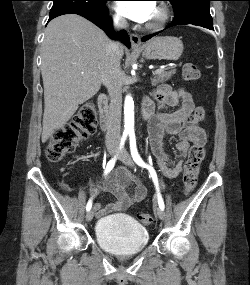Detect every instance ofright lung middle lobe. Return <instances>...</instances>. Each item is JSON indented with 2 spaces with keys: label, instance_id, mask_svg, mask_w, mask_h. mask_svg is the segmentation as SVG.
Returning a JSON list of instances; mask_svg holds the SVG:
<instances>
[{
  "label": "right lung middle lobe",
  "instance_id": "right-lung-middle-lobe-1",
  "mask_svg": "<svg viewBox=\"0 0 250 285\" xmlns=\"http://www.w3.org/2000/svg\"><path fill=\"white\" fill-rule=\"evenodd\" d=\"M50 16H57L73 10L99 11L106 7L109 0H52Z\"/></svg>",
  "mask_w": 250,
  "mask_h": 285
}]
</instances>
